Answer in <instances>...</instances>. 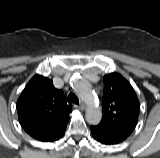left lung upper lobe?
I'll return each mask as SVG.
<instances>
[{"mask_svg":"<svg viewBox=\"0 0 160 158\" xmlns=\"http://www.w3.org/2000/svg\"><path fill=\"white\" fill-rule=\"evenodd\" d=\"M103 117L100 125L129 136L135 129L140 103L131 84L120 74L104 76Z\"/></svg>","mask_w":160,"mask_h":158,"instance_id":"left-lung-upper-lobe-1","label":"left lung upper lobe"}]
</instances>
